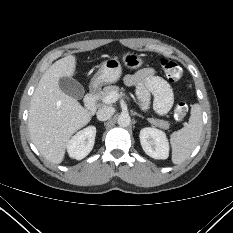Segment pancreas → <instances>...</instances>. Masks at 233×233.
Here are the masks:
<instances>
[{
    "mask_svg": "<svg viewBox=\"0 0 233 233\" xmlns=\"http://www.w3.org/2000/svg\"><path fill=\"white\" fill-rule=\"evenodd\" d=\"M122 89H120L118 86H107L104 87L103 91H101L100 93V99L102 100L104 97H106L107 95H109L110 93H119L120 91H122ZM148 121L159 128L162 129H169L170 127V123L168 121L165 120H160V119H154V118H148Z\"/></svg>",
    "mask_w": 233,
    "mask_h": 233,
    "instance_id": "pancreas-1",
    "label": "pancreas"
}]
</instances>
